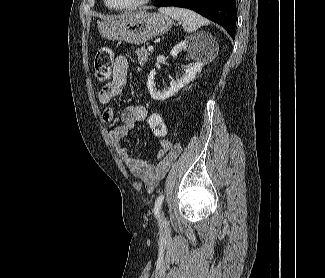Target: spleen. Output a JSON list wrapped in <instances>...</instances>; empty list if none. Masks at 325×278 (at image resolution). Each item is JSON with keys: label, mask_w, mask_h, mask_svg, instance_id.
Segmentation results:
<instances>
[{"label": "spleen", "mask_w": 325, "mask_h": 278, "mask_svg": "<svg viewBox=\"0 0 325 278\" xmlns=\"http://www.w3.org/2000/svg\"><path fill=\"white\" fill-rule=\"evenodd\" d=\"M158 11L176 21H181L184 30L188 33L194 32L202 26L208 25L209 21L201 15L189 9L177 7H161Z\"/></svg>", "instance_id": "obj_1"}]
</instances>
